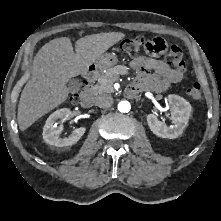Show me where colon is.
<instances>
[{
	"instance_id": "5ec220e1",
	"label": "colon",
	"mask_w": 221,
	"mask_h": 221,
	"mask_svg": "<svg viewBox=\"0 0 221 221\" xmlns=\"http://www.w3.org/2000/svg\"><path fill=\"white\" fill-rule=\"evenodd\" d=\"M122 51L133 57L140 51L145 50L147 52H167V59L169 63L178 71L184 72L186 70V63L183 59V52L181 48L175 44H167L164 39L160 37L147 38L143 35H136L129 39L124 40L121 43ZM189 97L196 102L202 100L201 86L198 83H194L187 90ZM72 100L75 102L80 101V94L75 93L72 96Z\"/></svg>"
}]
</instances>
